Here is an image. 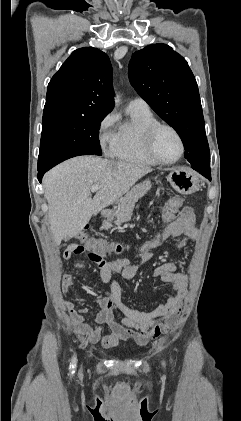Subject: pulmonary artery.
<instances>
[{
	"label": "pulmonary artery",
	"mask_w": 241,
	"mask_h": 421,
	"mask_svg": "<svg viewBox=\"0 0 241 421\" xmlns=\"http://www.w3.org/2000/svg\"><path fill=\"white\" fill-rule=\"evenodd\" d=\"M128 107L149 109V106H148L147 102L145 100H143L142 98H139V97L132 98L129 101Z\"/></svg>",
	"instance_id": "e3ab8cb5"
}]
</instances>
